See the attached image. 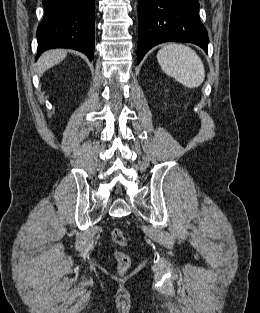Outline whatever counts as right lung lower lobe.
<instances>
[{"instance_id": "1", "label": "right lung lower lobe", "mask_w": 260, "mask_h": 313, "mask_svg": "<svg viewBox=\"0 0 260 313\" xmlns=\"http://www.w3.org/2000/svg\"><path fill=\"white\" fill-rule=\"evenodd\" d=\"M44 18L37 29L38 52L69 48L94 55V0H43Z\"/></svg>"}]
</instances>
